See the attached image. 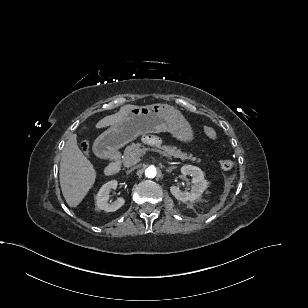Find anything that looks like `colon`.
I'll use <instances>...</instances> for the list:
<instances>
[{"instance_id": "obj_1", "label": "colon", "mask_w": 308, "mask_h": 308, "mask_svg": "<svg viewBox=\"0 0 308 308\" xmlns=\"http://www.w3.org/2000/svg\"><path fill=\"white\" fill-rule=\"evenodd\" d=\"M204 132H205L206 136L208 138L212 139V140H216L218 138V133L212 127H208V126L205 127ZM81 145H82V148L84 149V151H86L87 148H88L87 141H83ZM219 165H220L221 169H223V170H230V169L233 168L234 162L231 159H222V160H220Z\"/></svg>"}]
</instances>
